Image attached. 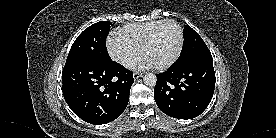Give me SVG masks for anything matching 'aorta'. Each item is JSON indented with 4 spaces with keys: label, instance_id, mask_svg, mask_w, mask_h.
Instances as JSON below:
<instances>
[{
    "label": "aorta",
    "instance_id": "1",
    "mask_svg": "<svg viewBox=\"0 0 276 138\" xmlns=\"http://www.w3.org/2000/svg\"><path fill=\"white\" fill-rule=\"evenodd\" d=\"M143 81L144 84L150 87H153L156 85L157 83V77L155 74L153 73H147L144 77H143Z\"/></svg>",
    "mask_w": 276,
    "mask_h": 138
}]
</instances>
